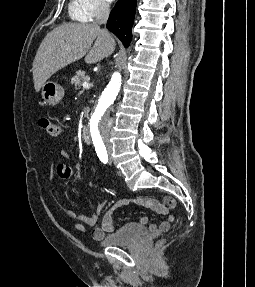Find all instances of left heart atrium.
<instances>
[{
    "instance_id": "1",
    "label": "left heart atrium",
    "mask_w": 255,
    "mask_h": 287,
    "mask_svg": "<svg viewBox=\"0 0 255 287\" xmlns=\"http://www.w3.org/2000/svg\"><path fill=\"white\" fill-rule=\"evenodd\" d=\"M74 33H87V32H74ZM73 39H91V38H73ZM73 48H89V47H73Z\"/></svg>"
}]
</instances>
